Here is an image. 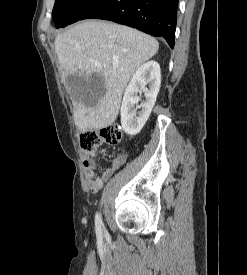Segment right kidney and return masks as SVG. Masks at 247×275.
Here are the masks:
<instances>
[{
  "mask_svg": "<svg viewBox=\"0 0 247 275\" xmlns=\"http://www.w3.org/2000/svg\"><path fill=\"white\" fill-rule=\"evenodd\" d=\"M160 73V65L156 61H148L141 65L131 78L120 109L121 125L126 134H138L147 122L160 89ZM142 92L145 101L139 104L141 98L138 93ZM137 109L141 111L137 112Z\"/></svg>",
  "mask_w": 247,
  "mask_h": 275,
  "instance_id": "ca27d5eb",
  "label": "right kidney"
}]
</instances>
